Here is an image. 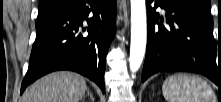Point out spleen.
Here are the masks:
<instances>
[{
    "label": "spleen",
    "instance_id": "1",
    "mask_svg": "<svg viewBox=\"0 0 221 102\" xmlns=\"http://www.w3.org/2000/svg\"><path fill=\"white\" fill-rule=\"evenodd\" d=\"M162 93L168 102H215L209 84L199 76L174 74L163 83Z\"/></svg>",
    "mask_w": 221,
    "mask_h": 102
}]
</instances>
